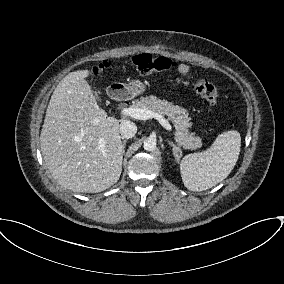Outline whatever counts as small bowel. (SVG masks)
<instances>
[{
    "mask_svg": "<svg viewBox=\"0 0 284 284\" xmlns=\"http://www.w3.org/2000/svg\"><path fill=\"white\" fill-rule=\"evenodd\" d=\"M178 70L181 74L186 75L190 71V68L187 65L181 64L179 65Z\"/></svg>",
    "mask_w": 284,
    "mask_h": 284,
    "instance_id": "1",
    "label": "small bowel"
}]
</instances>
